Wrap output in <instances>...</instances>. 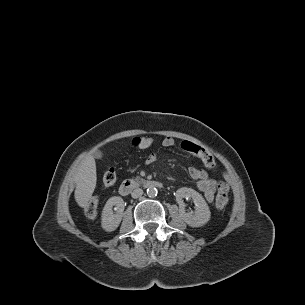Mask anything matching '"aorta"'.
I'll list each match as a JSON object with an SVG mask.
<instances>
[{
  "label": "aorta",
  "instance_id": "1",
  "mask_svg": "<svg viewBox=\"0 0 305 305\" xmlns=\"http://www.w3.org/2000/svg\"><path fill=\"white\" fill-rule=\"evenodd\" d=\"M157 193H158V190L154 187V186H149L147 188V195L149 197H156L157 196Z\"/></svg>",
  "mask_w": 305,
  "mask_h": 305
}]
</instances>
